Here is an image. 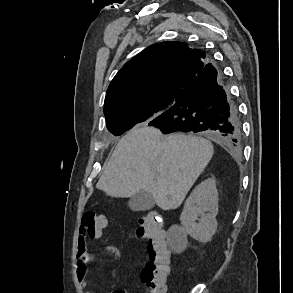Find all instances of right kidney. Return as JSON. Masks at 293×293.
<instances>
[{"mask_svg":"<svg viewBox=\"0 0 293 293\" xmlns=\"http://www.w3.org/2000/svg\"><path fill=\"white\" fill-rule=\"evenodd\" d=\"M217 214L216 182L208 178L195 187L184 204L180 216L183 233L200 242L210 241L217 229Z\"/></svg>","mask_w":293,"mask_h":293,"instance_id":"1","label":"right kidney"}]
</instances>
